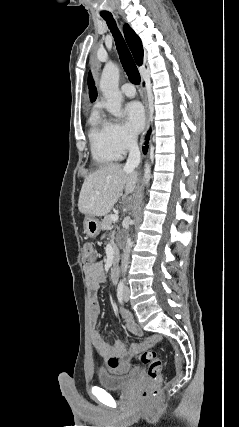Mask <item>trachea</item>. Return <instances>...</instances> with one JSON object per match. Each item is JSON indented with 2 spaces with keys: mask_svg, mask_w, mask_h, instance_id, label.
Here are the masks:
<instances>
[{
  "mask_svg": "<svg viewBox=\"0 0 239 427\" xmlns=\"http://www.w3.org/2000/svg\"><path fill=\"white\" fill-rule=\"evenodd\" d=\"M103 19L107 22L109 29L111 30L114 40L116 43L117 51L122 63V66L129 78V80L134 84L140 83V74L137 69V66L133 60V57L119 32L116 23L111 15H102Z\"/></svg>",
  "mask_w": 239,
  "mask_h": 427,
  "instance_id": "1",
  "label": "trachea"
}]
</instances>
